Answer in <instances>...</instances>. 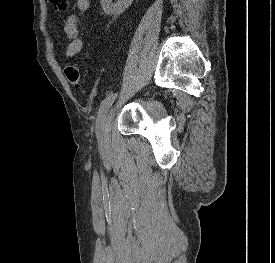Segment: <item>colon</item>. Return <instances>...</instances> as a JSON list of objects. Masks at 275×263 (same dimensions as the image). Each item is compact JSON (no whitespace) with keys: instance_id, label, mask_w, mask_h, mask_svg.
Listing matches in <instances>:
<instances>
[{"instance_id":"obj_1","label":"colon","mask_w":275,"mask_h":263,"mask_svg":"<svg viewBox=\"0 0 275 263\" xmlns=\"http://www.w3.org/2000/svg\"><path fill=\"white\" fill-rule=\"evenodd\" d=\"M53 6L54 11L63 13L68 9L69 0H49ZM64 73L71 85L76 88H81L83 85V78L77 65L69 63L64 68Z\"/></svg>"}]
</instances>
